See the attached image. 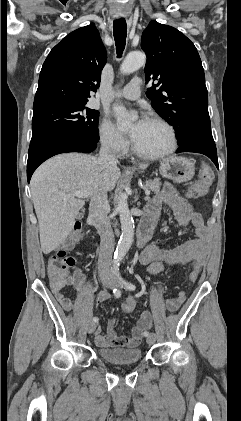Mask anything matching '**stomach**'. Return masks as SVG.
<instances>
[{
    "label": "stomach",
    "instance_id": "1",
    "mask_svg": "<svg viewBox=\"0 0 241 421\" xmlns=\"http://www.w3.org/2000/svg\"><path fill=\"white\" fill-rule=\"evenodd\" d=\"M159 171L163 177L175 182H186L191 180L195 174L194 164L189 159L179 156L161 160Z\"/></svg>",
    "mask_w": 241,
    "mask_h": 421
}]
</instances>
